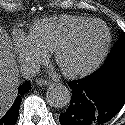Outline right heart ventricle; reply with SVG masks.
Wrapping results in <instances>:
<instances>
[{
	"label": "right heart ventricle",
	"instance_id": "e07e8e85",
	"mask_svg": "<svg viewBox=\"0 0 125 125\" xmlns=\"http://www.w3.org/2000/svg\"><path fill=\"white\" fill-rule=\"evenodd\" d=\"M90 18L62 15L36 20L30 28L34 43L46 54L53 52L56 44L75 27Z\"/></svg>",
	"mask_w": 125,
	"mask_h": 125
}]
</instances>
